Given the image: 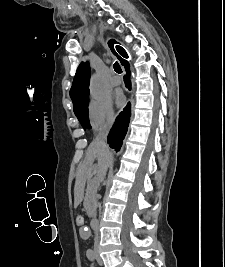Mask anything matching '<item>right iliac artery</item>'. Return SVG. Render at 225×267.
I'll list each match as a JSON object with an SVG mask.
<instances>
[{
    "instance_id": "obj_1",
    "label": "right iliac artery",
    "mask_w": 225,
    "mask_h": 267,
    "mask_svg": "<svg viewBox=\"0 0 225 267\" xmlns=\"http://www.w3.org/2000/svg\"><path fill=\"white\" fill-rule=\"evenodd\" d=\"M86 255H87V257H88V259L90 261H94L95 260V253H94L93 250L88 249Z\"/></svg>"
}]
</instances>
